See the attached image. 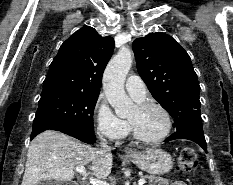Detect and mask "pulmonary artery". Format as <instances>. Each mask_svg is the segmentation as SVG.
Segmentation results:
<instances>
[{"label": "pulmonary artery", "instance_id": "pulmonary-artery-1", "mask_svg": "<svg viewBox=\"0 0 233 185\" xmlns=\"http://www.w3.org/2000/svg\"><path fill=\"white\" fill-rule=\"evenodd\" d=\"M127 92L136 100L142 101L145 99L147 89L144 81L137 75H130L125 82Z\"/></svg>", "mask_w": 233, "mask_h": 185}]
</instances>
